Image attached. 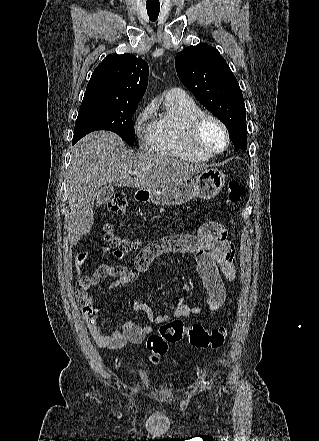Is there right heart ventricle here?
<instances>
[{
  "mask_svg": "<svg viewBox=\"0 0 319 441\" xmlns=\"http://www.w3.org/2000/svg\"><path fill=\"white\" fill-rule=\"evenodd\" d=\"M199 105L189 98H166V111L153 121L150 141L151 152L187 160L203 162L210 157L194 151L187 141V130L190 121L202 113Z\"/></svg>",
  "mask_w": 319,
  "mask_h": 441,
  "instance_id": "e07e8e85",
  "label": "right heart ventricle"
}]
</instances>
